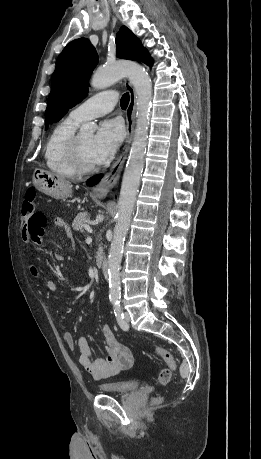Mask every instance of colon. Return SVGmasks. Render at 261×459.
I'll return each instance as SVG.
<instances>
[{"mask_svg": "<svg viewBox=\"0 0 261 459\" xmlns=\"http://www.w3.org/2000/svg\"><path fill=\"white\" fill-rule=\"evenodd\" d=\"M34 200L35 190L29 189L26 193L22 207V213L25 219L22 232L26 238H33L35 234L44 233V229L47 225L46 215L42 212H35ZM156 354L169 366V368L161 370L158 375L159 383L161 385H167L172 380V369L176 367V361L173 355L163 348H156Z\"/></svg>", "mask_w": 261, "mask_h": 459, "instance_id": "5ec220e1", "label": "colon"}]
</instances>
